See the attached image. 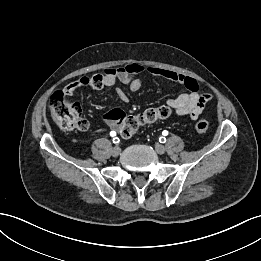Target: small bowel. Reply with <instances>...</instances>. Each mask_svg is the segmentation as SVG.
I'll return each instance as SVG.
<instances>
[{"label":"small bowel","instance_id":"1","mask_svg":"<svg viewBox=\"0 0 261 261\" xmlns=\"http://www.w3.org/2000/svg\"><path fill=\"white\" fill-rule=\"evenodd\" d=\"M144 71H147L153 76L166 78L182 84L187 89V92L180 94L176 98H168L166 100V104L172 108L178 116H188L192 120L197 119L203 112L207 102L211 99L209 94H201L199 92L196 80L191 77L160 67L151 66L146 68L136 62L128 63L117 68H108L101 74L83 77L80 80L85 84L83 88L101 89L103 87L113 86L116 81H119L128 85L131 91L136 92L142 86V81L138 78V75ZM116 93L121 101L127 102L128 97L122 89H116ZM113 110L122 112L119 109ZM108 113L105 114L107 125L112 129L118 130L119 125L107 117Z\"/></svg>","mask_w":261,"mask_h":261}]
</instances>
